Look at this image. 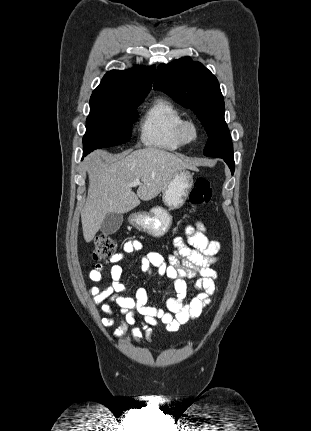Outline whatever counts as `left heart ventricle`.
<instances>
[{
    "label": "left heart ventricle",
    "mask_w": 311,
    "mask_h": 431,
    "mask_svg": "<svg viewBox=\"0 0 311 431\" xmlns=\"http://www.w3.org/2000/svg\"><path fill=\"white\" fill-rule=\"evenodd\" d=\"M186 132L189 138H194L197 134V130L194 124L190 123L187 125Z\"/></svg>",
    "instance_id": "b2bd125f"
}]
</instances>
